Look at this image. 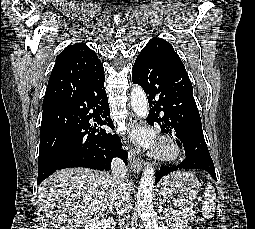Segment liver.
Instances as JSON below:
<instances>
[{
    "label": "liver",
    "mask_w": 255,
    "mask_h": 229,
    "mask_svg": "<svg viewBox=\"0 0 255 229\" xmlns=\"http://www.w3.org/2000/svg\"><path fill=\"white\" fill-rule=\"evenodd\" d=\"M117 185L118 179L109 173L66 168L42 182L38 198L55 229H79L112 211Z\"/></svg>",
    "instance_id": "1"
}]
</instances>
